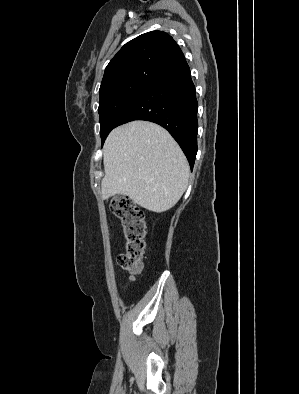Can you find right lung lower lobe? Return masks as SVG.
Wrapping results in <instances>:
<instances>
[{"label": "right lung lower lobe", "mask_w": 299, "mask_h": 394, "mask_svg": "<svg viewBox=\"0 0 299 394\" xmlns=\"http://www.w3.org/2000/svg\"><path fill=\"white\" fill-rule=\"evenodd\" d=\"M197 107L195 86L185 61L142 92L115 127L134 120L161 125L178 142L192 169L197 154Z\"/></svg>", "instance_id": "obj_1"}]
</instances>
